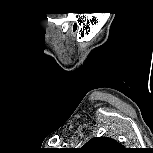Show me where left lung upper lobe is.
Wrapping results in <instances>:
<instances>
[{
    "instance_id": "left-lung-upper-lobe-1",
    "label": "left lung upper lobe",
    "mask_w": 153,
    "mask_h": 153,
    "mask_svg": "<svg viewBox=\"0 0 153 153\" xmlns=\"http://www.w3.org/2000/svg\"><path fill=\"white\" fill-rule=\"evenodd\" d=\"M120 148L121 145L118 142L105 137L93 138L82 147L87 153H109Z\"/></svg>"
}]
</instances>
